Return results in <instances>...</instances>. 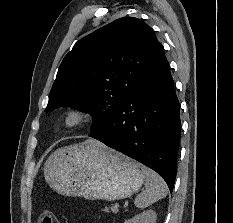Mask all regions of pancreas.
Instances as JSON below:
<instances>
[{
    "mask_svg": "<svg viewBox=\"0 0 233 223\" xmlns=\"http://www.w3.org/2000/svg\"><path fill=\"white\" fill-rule=\"evenodd\" d=\"M112 211H118V209H116V207H111Z\"/></svg>",
    "mask_w": 233,
    "mask_h": 223,
    "instance_id": "pancreas-1",
    "label": "pancreas"
}]
</instances>
